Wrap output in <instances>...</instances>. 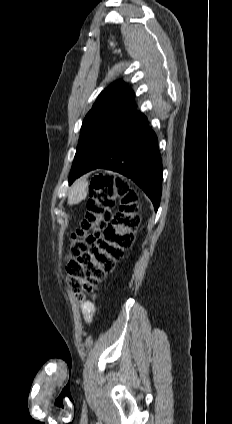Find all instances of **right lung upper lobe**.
<instances>
[{
	"label": "right lung upper lobe",
	"mask_w": 232,
	"mask_h": 424,
	"mask_svg": "<svg viewBox=\"0 0 232 424\" xmlns=\"http://www.w3.org/2000/svg\"><path fill=\"white\" fill-rule=\"evenodd\" d=\"M107 107L135 109L133 91L123 81L115 82L99 95L92 109Z\"/></svg>",
	"instance_id": "cb5924a9"
}]
</instances>
